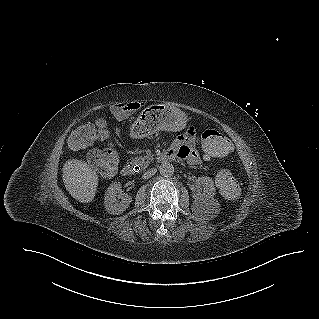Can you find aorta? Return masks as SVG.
I'll return each instance as SVG.
<instances>
[{"mask_svg":"<svg viewBox=\"0 0 319 319\" xmlns=\"http://www.w3.org/2000/svg\"><path fill=\"white\" fill-rule=\"evenodd\" d=\"M159 172L164 177H171L174 174V167L169 162L162 163Z\"/></svg>","mask_w":319,"mask_h":319,"instance_id":"1","label":"aorta"}]
</instances>
